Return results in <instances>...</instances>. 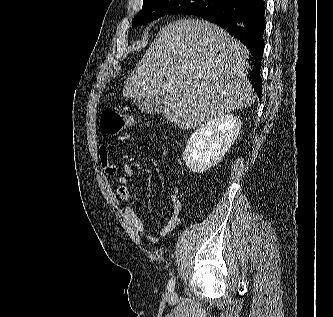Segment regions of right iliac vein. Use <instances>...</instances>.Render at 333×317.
I'll return each instance as SVG.
<instances>
[{
	"label": "right iliac vein",
	"instance_id": "right-iliac-vein-1",
	"mask_svg": "<svg viewBox=\"0 0 333 317\" xmlns=\"http://www.w3.org/2000/svg\"><path fill=\"white\" fill-rule=\"evenodd\" d=\"M168 298L170 299H174L176 297L175 293L170 291L168 294H167Z\"/></svg>",
	"mask_w": 333,
	"mask_h": 317
}]
</instances>
